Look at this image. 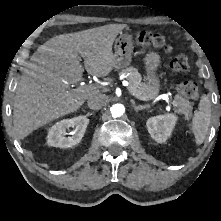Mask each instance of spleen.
I'll use <instances>...</instances> for the list:
<instances>
[{
  "label": "spleen",
  "instance_id": "3e777b00",
  "mask_svg": "<svg viewBox=\"0 0 221 221\" xmlns=\"http://www.w3.org/2000/svg\"><path fill=\"white\" fill-rule=\"evenodd\" d=\"M211 120V105L206 95H203L198 105V111L195 112L191 128L195 136L196 144L204 142Z\"/></svg>",
  "mask_w": 221,
  "mask_h": 221
}]
</instances>
